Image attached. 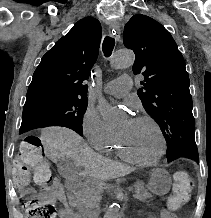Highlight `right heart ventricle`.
Instances as JSON below:
<instances>
[{
	"label": "right heart ventricle",
	"instance_id": "1",
	"mask_svg": "<svg viewBox=\"0 0 211 218\" xmlns=\"http://www.w3.org/2000/svg\"><path fill=\"white\" fill-rule=\"evenodd\" d=\"M101 153H104L106 155H113V156H117L123 160L132 162L131 160H129L128 158H126L123 153L120 151V149L118 148V145L116 143V138H114L113 140H111L109 143H107L106 145L100 147L98 149Z\"/></svg>",
	"mask_w": 211,
	"mask_h": 218
}]
</instances>
